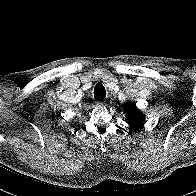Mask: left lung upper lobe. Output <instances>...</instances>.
Here are the masks:
<instances>
[{
  "label": "left lung upper lobe",
  "mask_w": 196,
  "mask_h": 196,
  "mask_svg": "<svg viewBox=\"0 0 196 196\" xmlns=\"http://www.w3.org/2000/svg\"><path fill=\"white\" fill-rule=\"evenodd\" d=\"M127 120L128 124L133 127V129H138L143 125L144 116L142 112H140L137 107L136 103H130L127 107Z\"/></svg>",
  "instance_id": "obj_1"
}]
</instances>
